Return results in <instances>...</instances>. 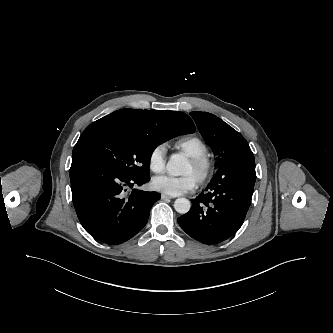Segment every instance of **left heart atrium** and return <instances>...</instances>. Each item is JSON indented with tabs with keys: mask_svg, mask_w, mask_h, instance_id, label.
<instances>
[{
	"mask_svg": "<svg viewBox=\"0 0 333 333\" xmlns=\"http://www.w3.org/2000/svg\"><path fill=\"white\" fill-rule=\"evenodd\" d=\"M197 185L196 178L191 174L183 176L161 175L153 178L152 187L163 194L178 196L193 190Z\"/></svg>",
	"mask_w": 333,
	"mask_h": 333,
	"instance_id": "left-heart-atrium-1",
	"label": "left heart atrium"
}]
</instances>
